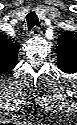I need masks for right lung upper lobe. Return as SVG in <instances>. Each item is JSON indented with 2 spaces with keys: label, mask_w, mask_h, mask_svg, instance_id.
Returning <instances> with one entry per match:
<instances>
[{
  "label": "right lung upper lobe",
  "mask_w": 77,
  "mask_h": 125,
  "mask_svg": "<svg viewBox=\"0 0 77 125\" xmlns=\"http://www.w3.org/2000/svg\"><path fill=\"white\" fill-rule=\"evenodd\" d=\"M19 45L9 41L0 35V72L6 73L12 70L17 61Z\"/></svg>",
  "instance_id": "right-lung-upper-lobe-1"
}]
</instances>
